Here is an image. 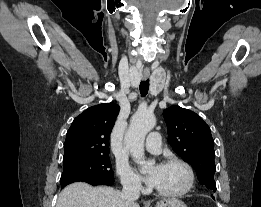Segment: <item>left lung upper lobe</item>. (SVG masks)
Listing matches in <instances>:
<instances>
[{"instance_id": "left-lung-upper-lobe-1", "label": "left lung upper lobe", "mask_w": 261, "mask_h": 207, "mask_svg": "<svg viewBox=\"0 0 261 207\" xmlns=\"http://www.w3.org/2000/svg\"><path fill=\"white\" fill-rule=\"evenodd\" d=\"M173 150L194 168L200 184L216 191L213 138L209 126L191 110L172 106L163 111Z\"/></svg>"}]
</instances>
